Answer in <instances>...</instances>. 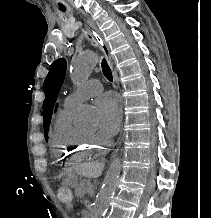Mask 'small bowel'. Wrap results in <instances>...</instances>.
I'll return each instance as SVG.
<instances>
[{
  "label": "small bowel",
  "instance_id": "obj_1",
  "mask_svg": "<svg viewBox=\"0 0 211 218\" xmlns=\"http://www.w3.org/2000/svg\"><path fill=\"white\" fill-rule=\"evenodd\" d=\"M66 207H67L68 209H71V208L73 207L72 202L67 203V204H66Z\"/></svg>",
  "mask_w": 211,
  "mask_h": 218
}]
</instances>
